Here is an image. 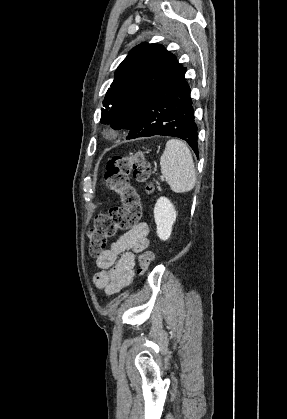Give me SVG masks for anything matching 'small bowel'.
Listing matches in <instances>:
<instances>
[{
	"mask_svg": "<svg viewBox=\"0 0 287 419\" xmlns=\"http://www.w3.org/2000/svg\"><path fill=\"white\" fill-rule=\"evenodd\" d=\"M148 232V225L139 223L119 235L97 257L96 264L100 270L94 276V283L107 295H113L132 283L135 254L148 248Z\"/></svg>",
	"mask_w": 287,
	"mask_h": 419,
	"instance_id": "c3829d8e",
	"label": "small bowel"
}]
</instances>
